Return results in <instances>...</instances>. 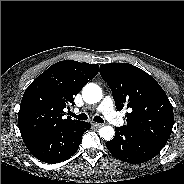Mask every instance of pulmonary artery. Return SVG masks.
Here are the masks:
<instances>
[{"label":"pulmonary artery","mask_w":184,"mask_h":184,"mask_svg":"<svg viewBox=\"0 0 184 184\" xmlns=\"http://www.w3.org/2000/svg\"><path fill=\"white\" fill-rule=\"evenodd\" d=\"M97 111L101 112L104 117L112 124L121 126L124 124L123 119L114 109V103L111 97L106 96L97 107Z\"/></svg>","instance_id":"1"}]
</instances>
